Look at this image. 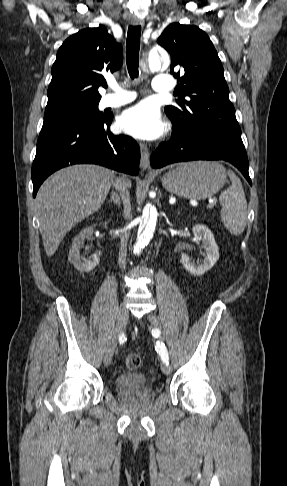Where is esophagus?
Returning a JSON list of instances; mask_svg holds the SVG:
<instances>
[{
	"label": "esophagus",
	"mask_w": 287,
	"mask_h": 486,
	"mask_svg": "<svg viewBox=\"0 0 287 486\" xmlns=\"http://www.w3.org/2000/svg\"><path fill=\"white\" fill-rule=\"evenodd\" d=\"M132 24L134 26H142L143 21L140 20V19H133ZM139 147H140V152H141L140 167L143 170H149V168H150V166H149V149L143 143H139Z\"/></svg>",
	"instance_id": "1"
}]
</instances>
